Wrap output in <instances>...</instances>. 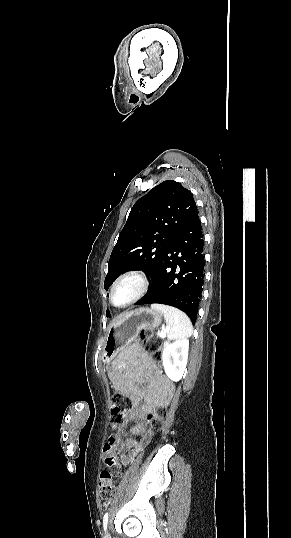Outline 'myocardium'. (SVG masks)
<instances>
[{
    "label": "myocardium",
    "mask_w": 291,
    "mask_h": 538,
    "mask_svg": "<svg viewBox=\"0 0 291 538\" xmlns=\"http://www.w3.org/2000/svg\"><path fill=\"white\" fill-rule=\"evenodd\" d=\"M127 280H135L138 283V290L124 303L116 304L114 302V293L116 288ZM150 288L149 277L140 270H129L119 275L109 290V302L112 306L117 308H125L143 298Z\"/></svg>",
    "instance_id": "myocardium-1"
}]
</instances>
